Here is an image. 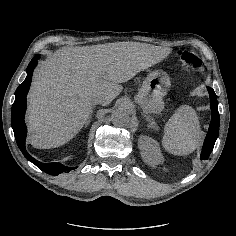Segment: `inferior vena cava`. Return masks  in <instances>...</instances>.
I'll list each match as a JSON object with an SVG mask.
<instances>
[{
	"mask_svg": "<svg viewBox=\"0 0 236 236\" xmlns=\"http://www.w3.org/2000/svg\"><path fill=\"white\" fill-rule=\"evenodd\" d=\"M109 101V99L108 98H100L99 100H95L94 101V104H100L101 105V103H106V102H108Z\"/></svg>",
	"mask_w": 236,
	"mask_h": 236,
	"instance_id": "obj_1",
	"label": "inferior vena cava"
}]
</instances>
